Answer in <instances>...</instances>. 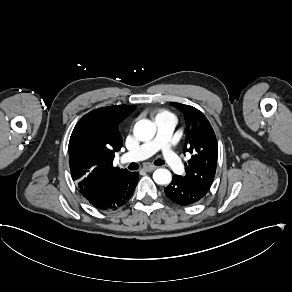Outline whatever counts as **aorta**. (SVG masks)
Instances as JSON below:
<instances>
[{"instance_id": "obj_1", "label": "aorta", "mask_w": 292, "mask_h": 292, "mask_svg": "<svg viewBox=\"0 0 292 292\" xmlns=\"http://www.w3.org/2000/svg\"><path fill=\"white\" fill-rule=\"evenodd\" d=\"M134 135L140 141L150 140L155 135V126L149 120H139L134 126ZM153 179L157 184H168L171 182L172 175L168 169L159 168L155 170Z\"/></svg>"}]
</instances>
